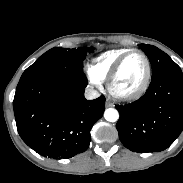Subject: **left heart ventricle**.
Here are the masks:
<instances>
[{"instance_id": "obj_1", "label": "left heart ventricle", "mask_w": 183, "mask_h": 183, "mask_svg": "<svg viewBox=\"0 0 183 183\" xmlns=\"http://www.w3.org/2000/svg\"><path fill=\"white\" fill-rule=\"evenodd\" d=\"M145 76V62L141 55L130 54L114 81V87L121 92L135 90L143 81Z\"/></svg>"}]
</instances>
